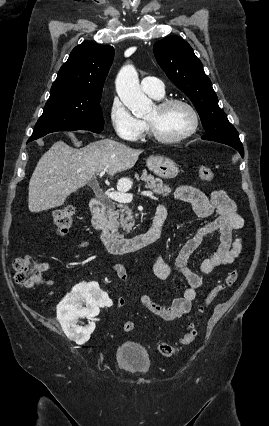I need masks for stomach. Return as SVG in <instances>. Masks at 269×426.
Listing matches in <instances>:
<instances>
[{
	"mask_svg": "<svg viewBox=\"0 0 269 426\" xmlns=\"http://www.w3.org/2000/svg\"><path fill=\"white\" fill-rule=\"evenodd\" d=\"M147 167L154 174L164 179L174 178L179 173L176 163L167 157L151 156L147 159Z\"/></svg>",
	"mask_w": 269,
	"mask_h": 426,
	"instance_id": "obj_1",
	"label": "stomach"
}]
</instances>
